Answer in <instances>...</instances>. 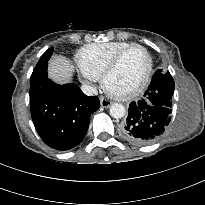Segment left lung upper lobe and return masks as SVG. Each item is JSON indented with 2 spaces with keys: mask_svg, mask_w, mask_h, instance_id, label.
Listing matches in <instances>:
<instances>
[{
  "mask_svg": "<svg viewBox=\"0 0 205 205\" xmlns=\"http://www.w3.org/2000/svg\"><path fill=\"white\" fill-rule=\"evenodd\" d=\"M156 87L163 90L166 97V102H171L174 93V80L169 73L163 72L161 69L155 72L148 90L145 92V98L152 96V92L156 91Z\"/></svg>",
  "mask_w": 205,
  "mask_h": 205,
  "instance_id": "obj_1",
  "label": "left lung upper lobe"
}]
</instances>
